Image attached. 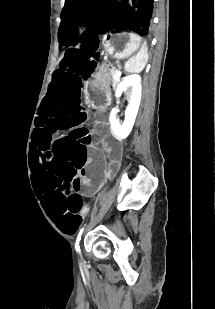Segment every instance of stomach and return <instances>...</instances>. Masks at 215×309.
Here are the masks:
<instances>
[{"mask_svg": "<svg viewBox=\"0 0 215 309\" xmlns=\"http://www.w3.org/2000/svg\"><path fill=\"white\" fill-rule=\"evenodd\" d=\"M142 43L140 36L127 31L109 33L102 38L105 56L115 60L131 57L141 50ZM109 72V65H102L85 83V91L91 100L96 102L105 100L110 83Z\"/></svg>", "mask_w": 215, "mask_h": 309, "instance_id": "1", "label": "stomach"}]
</instances>
